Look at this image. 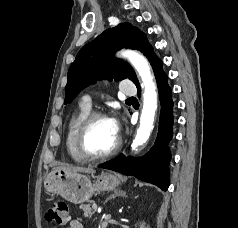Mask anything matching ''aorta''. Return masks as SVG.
<instances>
[{
	"label": "aorta",
	"mask_w": 238,
	"mask_h": 228,
	"mask_svg": "<svg viewBox=\"0 0 238 228\" xmlns=\"http://www.w3.org/2000/svg\"><path fill=\"white\" fill-rule=\"evenodd\" d=\"M120 56L129 60L142 81L143 108L140 116V125L131 144L132 150H136L149 139L154 128L157 110L156 83L151 73L150 64L142 54L134 50H124L120 52Z\"/></svg>",
	"instance_id": "1"
}]
</instances>
